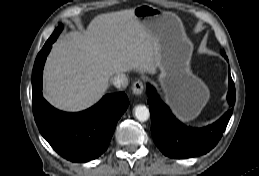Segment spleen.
I'll return each instance as SVG.
<instances>
[{
    "label": "spleen",
    "instance_id": "spleen-1",
    "mask_svg": "<svg viewBox=\"0 0 259 176\" xmlns=\"http://www.w3.org/2000/svg\"><path fill=\"white\" fill-rule=\"evenodd\" d=\"M203 124H205V122H200V123H197V124H195L196 126H200V125H203Z\"/></svg>",
    "mask_w": 259,
    "mask_h": 176
}]
</instances>
